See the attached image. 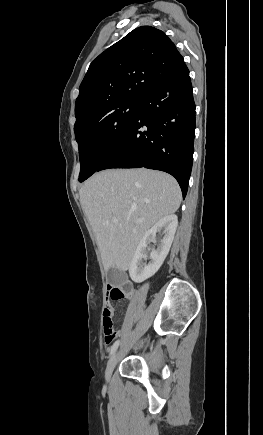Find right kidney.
I'll list each match as a JSON object with an SVG mask.
<instances>
[{
	"instance_id": "ca27d5eb",
	"label": "right kidney",
	"mask_w": 263,
	"mask_h": 435,
	"mask_svg": "<svg viewBox=\"0 0 263 435\" xmlns=\"http://www.w3.org/2000/svg\"><path fill=\"white\" fill-rule=\"evenodd\" d=\"M178 219L174 214H170L160 219L151 229H149L140 240L129 267L131 279L137 283L152 277L162 266L177 229ZM157 232H161V239L156 249L150 252V261L147 264L148 244L155 242Z\"/></svg>"
}]
</instances>
